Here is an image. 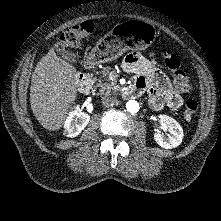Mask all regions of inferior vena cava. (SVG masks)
Here are the masks:
<instances>
[{"instance_id":"inferior-vena-cava-1","label":"inferior vena cava","mask_w":221,"mask_h":221,"mask_svg":"<svg viewBox=\"0 0 221 221\" xmlns=\"http://www.w3.org/2000/svg\"><path fill=\"white\" fill-rule=\"evenodd\" d=\"M102 104L105 107H113L118 104V100L116 97L105 94L102 96Z\"/></svg>"}]
</instances>
